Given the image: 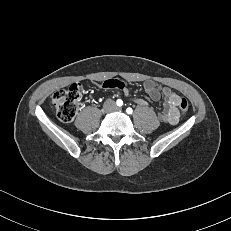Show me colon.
Returning a JSON list of instances; mask_svg holds the SVG:
<instances>
[{
    "label": "colon",
    "instance_id": "obj_1",
    "mask_svg": "<svg viewBox=\"0 0 231 231\" xmlns=\"http://www.w3.org/2000/svg\"><path fill=\"white\" fill-rule=\"evenodd\" d=\"M83 93L82 85L74 83L68 88L58 90L53 94L52 104L62 122H70L74 119L83 102ZM178 107L181 112H187L189 103L185 98H181Z\"/></svg>",
    "mask_w": 231,
    "mask_h": 231
}]
</instances>
